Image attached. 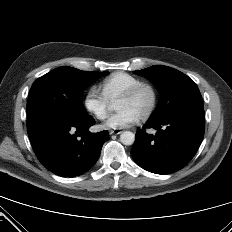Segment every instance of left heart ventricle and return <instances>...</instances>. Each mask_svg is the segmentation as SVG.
I'll use <instances>...</instances> for the list:
<instances>
[{"label": "left heart ventricle", "mask_w": 232, "mask_h": 232, "mask_svg": "<svg viewBox=\"0 0 232 232\" xmlns=\"http://www.w3.org/2000/svg\"><path fill=\"white\" fill-rule=\"evenodd\" d=\"M151 102V93L148 89H143L138 93L136 97L130 100H119L116 101L115 107L117 110L129 109L139 116L148 108Z\"/></svg>", "instance_id": "obj_1"}]
</instances>
